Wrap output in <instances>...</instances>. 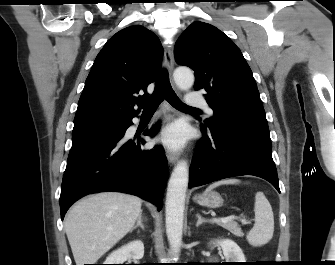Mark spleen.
I'll list each match as a JSON object with an SVG mask.
<instances>
[{"label":"spleen","instance_id":"1","mask_svg":"<svg viewBox=\"0 0 335 265\" xmlns=\"http://www.w3.org/2000/svg\"><path fill=\"white\" fill-rule=\"evenodd\" d=\"M239 182L238 179L221 180L209 185L206 192L223 184H237ZM254 212L255 224L247 234V241L250 245L257 247L268 243L272 239L274 232L272 207L262 192H258L255 196Z\"/></svg>","mask_w":335,"mask_h":265}]
</instances>
